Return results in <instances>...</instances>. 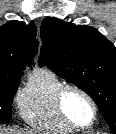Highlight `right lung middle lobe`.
<instances>
[{"label": "right lung middle lobe", "instance_id": "obj_1", "mask_svg": "<svg viewBox=\"0 0 116 134\" xmlns=\"http://www.w3.org/2000/svg\"><path fill=\"white\" fill-rule=\"evenodd\" d=\"M18 84L19 82L0 84V122H7L12 119L11 105L18 89Z\"/></svg>", "mask_w": 116, "mask_h": 134}]
</instances>
